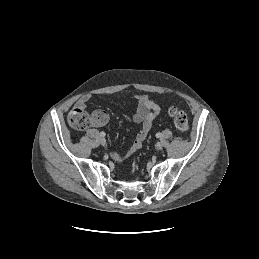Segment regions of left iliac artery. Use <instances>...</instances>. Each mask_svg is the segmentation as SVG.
<instances>
[{
	"label": "left iliac artery",
	"instance_id": "obj_1",
	"mask_svg": "<svg viewBox=\"0 0 259 259\" xmlns=\"http://www.w3.org/2000/svg\"><path fill=\"white\" fill-rule=\"evenodd\" d=\"M156 137H157V138H160V137H161V134H160V133H157V134H156Z\"/></svg>",
	"mask_w": 259,
	"mask_h": 259
}]
</instances>
